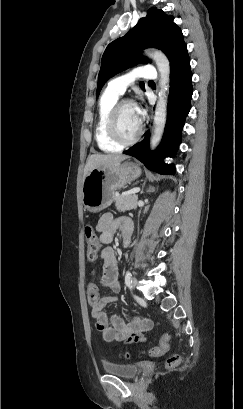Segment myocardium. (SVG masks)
<instances>
[{
  "instance_id": "f54148a6",
  "label": "myocardium",
  "mask_w": 243,
  "mask_h": 409,
  "mask_svg": "<svg viewBox=\"0 0 243 409\" xmlns=\"http://www.w3.org/2000/svg\"><path fill=\"white\" fill-rule=\"evenodd\" d=\"M127 105L135 106V102L130 99H122L118 101L114 105L112 110L110 111L108 119H107L108 135L116 144L120 146H128V145L136 143L143 134L142 123H141V126L138 132L133 137L127 139V138H124L123 135L121 134L119 126H118V117H119L121 110Z\"/></svg>"
}]
</instances>
